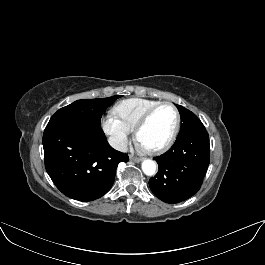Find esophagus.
<instances>
[{
  "instance_id": "esophagus-1",
  "label": "esophagus",
  "mask_w": 265,
  "mask_h": 265,
  "mask_svg": "<svg viewBox=\"0 0 265 265\" xmlns=\"http://www.w3.org/2000/svg\"><path fill=\"white\" fill-rule=\"evenodd\" d=\"M142 159L140 157H136V156H130V161L132 162H140Z\"/></svg>"
}]
</instances>
